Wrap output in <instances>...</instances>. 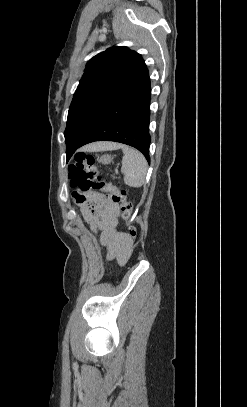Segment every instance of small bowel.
Segmentation results:
<instances>
[{"label":"small bowel","mask_w":247,"mask_h":407,"mask_svg":"<svg viewBox=\"0 0 247 407\" xmlns=\"http://www.w3.org/2000/svg\"><path fill=\"white\" fill-rule=\"evenodd\" d=\"M82 214L90 229L100 233V242L107 250V260L117 259L119 263L128 260L132 238L116 230L120 218V209L110 197L88 195L82 205Z\"/></svg>","instance_id":"1"}]
</instances>
